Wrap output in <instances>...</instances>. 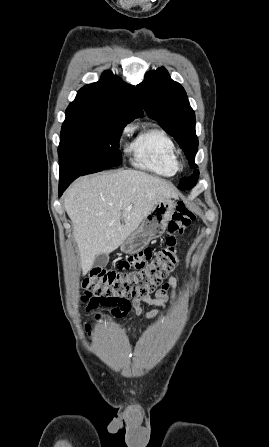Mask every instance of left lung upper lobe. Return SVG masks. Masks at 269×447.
<instances>
[{"label": "left lung upper lobe", "instance_id": "1", "mask_svg": "<svg viewBox=\"0 0 269 447\" xmlns=\"http://www.w3.org/2000/svg\"><path fill=\"white\" fill-rule=\"evenodd\" d=\"M137 90L147 114L175 138L189 165L194 168V173L190 177L182 178L179 185L180 189H191L199 176V170L194 163L198 138L195 133V114L184 88L173 81L167 70L161 67L147 72Z\"/></svg>", "mask_w": 269, "mask_h": 447}]
</instances>
